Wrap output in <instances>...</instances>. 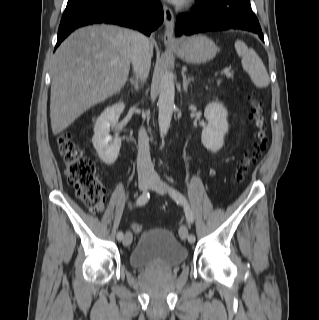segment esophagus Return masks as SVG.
<instances>
[{
	"instance_id": "1",
	"label": "esophagus",
	"mask_w": 319,
	"mask_h": 320,
	"mask_svg": "<svg viewBox=\"0 0 319 320\" xmlns=\"http://www.w3.org/2000/svg\"><path fill=\"white\" fill-rule=\"evenodd\" d=\"M164 10V41L165 42H173L174 39V14L172 10L167 6L163 5Z\"/></svg>"
}]
</instances>
